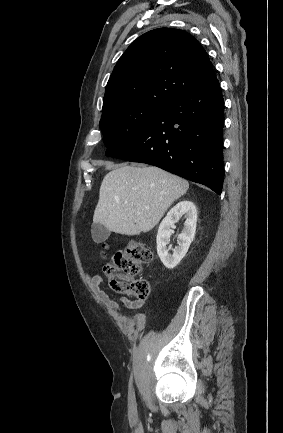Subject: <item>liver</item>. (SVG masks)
Masks as SVG:
<instances>
[{"label":"liver","mask_w":283,"mask_h":433,"mask_svg":"<svg viewBox=\"0 0 283 433\" xmlns=\"http://www.w3.org/2000/svg\"><path fill=\"white\" fill-rule=\"evenodd\" d=\"M188 188V180L158 166L117 164L101 182L93 223L120 235L147 233Z\"/></svg>","instance_id":"6515ba94"}]
</instances>
